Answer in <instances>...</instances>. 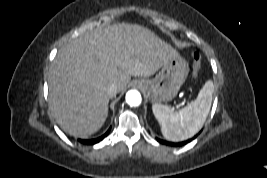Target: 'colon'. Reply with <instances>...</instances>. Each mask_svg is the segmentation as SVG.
Segmentation results:
<instances>
[{
  "instance_id": "obj_1",
  "label": "colon",
  "mask_w": 267,
  "mask_h": 178,
  "mask_svg": "<svg viewBox=\"0 0 267 178\" xmlns=\"http://www.w3.org/2000/svg\"><path fill=\"white\" fill-rule=\"evenodd\" d=\"M194 73L199 72L201 68V54L198 51L192 53Z\"/></svg>"
}]
</instances>
